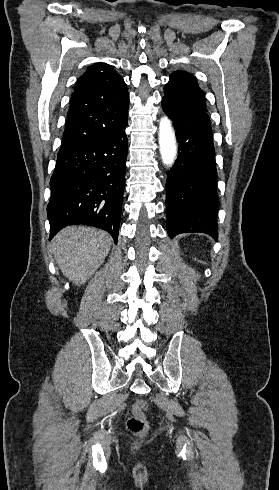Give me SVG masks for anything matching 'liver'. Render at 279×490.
Masks as SVG:
<instances>
[{
    "mask_svg": "<svg viewBox=\"0 0 279 490\" xmlns=\"http://www.w3.org/2000/svg\"><path fill=\"white\" fill-rule=\"evenodd\" d=\"M112 238L95 228L68 226L53 240L54 258L63 274L75 286H83L103 264Z\"/></svg>",
    "mask_w": 279,
    "mask_h": 490,
    "instance_id": "6515ba94",
    "label": "liver"
}]
</instances>
